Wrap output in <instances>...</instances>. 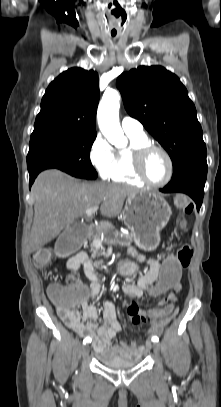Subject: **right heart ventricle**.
<instances>
[{
    "instance_id": "right-heart-ventricle-1",
    "label": "right heart ventricle",
    "mask_w": 221,
    "mask_h": 407,
    "mask_svg": "<svg viewBox=\"0 0 221 407\" xmlns=\"http://www.w3.org/2000/svg\"><path fill=\"white\" fill-rule=\"evenodd\" d=\"M126 134L129 138L130 144L128 147L118 149L115 152V164L110 178L115 182L142 186L144 183L133 171L132 151L134 148L150 144L151 142L145 134Z\"/></svg>"
}]
</instances>
